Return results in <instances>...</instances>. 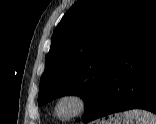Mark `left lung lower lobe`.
Instances as JSON below:
<instances>
[{
  "label": "left lung lower lobe",
  "instance_id": "obj_1",
  "mask_svg": "<svg viewBox=\"0 0 156 124\" xmlns=\"http://www.w3.org/2000/svg\"><path fill=\"white\" fill-rule=\"evenodd\" d=\"M129 109L156 114V11L128 43L83 120Z\"/></svg>",
  "mask_w": 156,
  "mask_h": 124
}]
</instances>
